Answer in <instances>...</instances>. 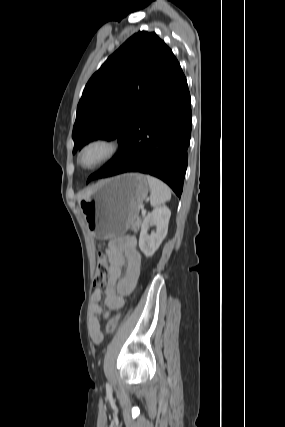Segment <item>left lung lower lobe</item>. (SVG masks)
Segmentation results:
<instances>
[{
	"mask_svg": "<svg viewBox=\"0 0 285 427\" xmlns=\"http://www.w3.org/2000/svg\"><path fill=\"white\" fill-rule=\"evenodd\" d=\"M191 125L188 85L172 53L145 108L121 143L119 153L92 174L87 183L125 172H141L160 178L180 197Z\"/></svg>",
	"mask_w": 285,
	"mask_h": 427,
	"instance_id": "1",
	"label": "left lung lower lobe"
}]
</instances>
